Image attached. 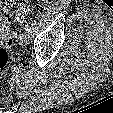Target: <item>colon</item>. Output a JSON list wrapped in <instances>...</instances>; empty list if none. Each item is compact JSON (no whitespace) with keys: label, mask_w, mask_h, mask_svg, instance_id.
I'll return each instance as SVG.
<instances>
[{"label":"colon","mask_w":113,"mask_h":113,"mask_svg":"<svg viewBox=\"0 0 113 113\" xmlns=\"http://www.w3.org/2000/svg\"><path fill=\"white\" fill-rule=\"evenodd\" d=\"M18 1L19 0H0V9L9 13L15 21H22L29 12V5L25 2ZM13 44L14 34H10L6 39L5 46H0V74L10 63V48Z\"/></svg>","instance_id":"5ec220e1"}]
</instances>
